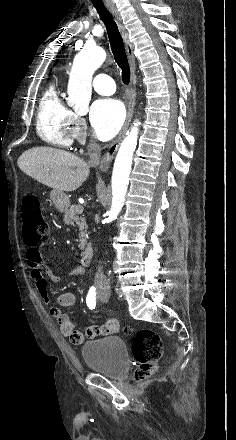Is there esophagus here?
<instances>
[{
	"mask_svg": "<svg viewBox=\"0 0 236 440\" xmlns=\"http://www.w3.org/2000/svg\"><path fill=\"white\" fill-rule=\"evenodd\" d=\"M106 7L111 12L113 17L116 20V23L118 25V29L121 33V36L124 40L128 58H129V64H130V71H131V78H130V88H129V103L127 107V117L125 124L117 137V139L111 144L109 149L107 150L106 154L103 156L100 162V169L103 172H106L110 166L111 161L114 158V155L117 152V149L125 135V132L130 124L131 118L133 116L135 101H136V85H137V79H136V62H135V56H134V47L133 44L129 38L128 31L124 27V25L121 23L120 15L115 7V5L112 2H106Z\"/></svg>",
	"mask_w": 236,
	"mask_h": 440,
	"instance_id": "esophagus-1",
	"label": "esophagus"
}]
</instances>
